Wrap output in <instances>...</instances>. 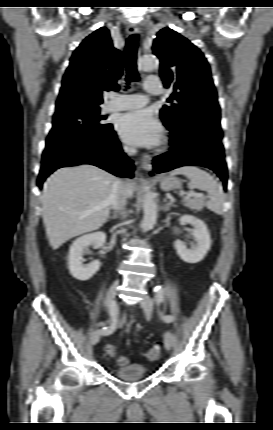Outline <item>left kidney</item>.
Returning a JSON list of instances; mask_svg holds the SVG:
<instances>
[{
	"label": "left kidney",
	"instance_id": "5707ae66",
	"mask_svg": "<svg viewBox=\"0 0 273 430\" xmlns=\"http://www.w3.org/2000/svg\"><path fill=\"white\" fill-rule=\"evenodd\" d=\"M180 221L184 224H191L194 229L191 235L196 243L191 242L190 248L188 243L181 240L175 241V249L178 256L187 263H198L204 259L211 247V238L206 224L192 215H184Z\"/></svg>",
	"mask_w": 273,
	"mask_h": 430
}]
</instances>
